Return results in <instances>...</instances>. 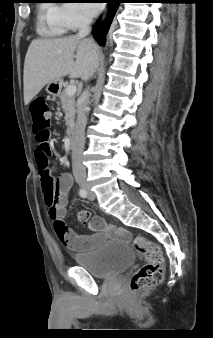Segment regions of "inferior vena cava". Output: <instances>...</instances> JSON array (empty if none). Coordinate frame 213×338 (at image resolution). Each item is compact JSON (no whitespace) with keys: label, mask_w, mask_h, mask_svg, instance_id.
Here are the masks:
<instances>
[{"label":"inferior vena cava","mask_w":213,"mask_h":338,"mask_svg":"<svg viewBox=\"0 0 213 338\" xmlns=\"http://www.w3.org/2000/svg\"><path fill=\"white\" fill-rule=\"evenodd\" d=\"M91 20L87 17H84L81 22L78 37L84 38L89 35ZM89 98L88 91H85L80 97V104L78 106L77 121L75 127L74 138L72 142V169L73 174L76 180H85L86 179V168L83 165V150L85 144V127H86V112L87 101Z\"/></svg>","instance_id":"602c4592"}]
</instances>
